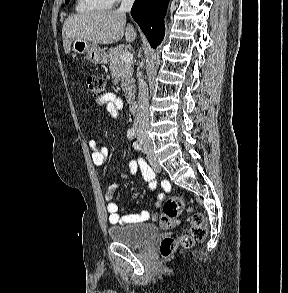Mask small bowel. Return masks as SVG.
Masks as SVG:
<instances>
[{
    "instance_id": "1",
    "label": "small bowel",
    "mask_w": 288,
    "mask_h": 293,
    "mask_svg": "<svg viewBox=\"0 0 288 293\" xmlns=\"http://www.w3.org/2000/svg\"><path fill=\"white\" fill-rule=\"evenodd\" d=\"M93 103L97 107L104 108L112 117H118L122 110L123 103L120 98H118L114 93L108 92L101 97H96L93 99ZM89 146L91 149V159L93 163L97 166L104 164L106 161L109 149L107 146L99 144L96 140L92 139L89 141ZM130 172L132 174L136 173L139 169L143 175L145 181L148 182L150 190H155L157 187V182L155 180V175L152 169L143 159L131 160L129 163ZM118 183L113 182L106 186L104 197L107 201L106 209L108 212V221L111 225H127L131 223L144 222L149 219L156 220L158 217L157 212L149 213L148 211H142L138 214H127L120 216L119 206L113 201L117 191ZM163 194L158 195L156 205L159 206L163 200Z\"/></svg>"
}]
</instances>
